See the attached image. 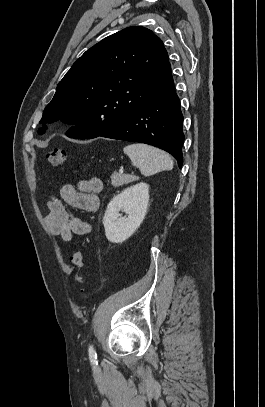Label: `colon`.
<instances>
[{"instance_id":"5ec220e1","label":"colon","mask_w":265,"mask_h":407,"mask_svg":"<svg viewBox=\"0 0 265 407\" xmlns=\"http://www.w3.org/2000/svg\"><path fill=\"white\" fill-rule=\"evenodd\" d=\"M67 160V152L64 149L55 148L49 150L45 154V161L53 166H59ZM71 262L75 268V283L82 286L86 282V278L82 275L81 270L84 264L83 253L78 250L71 256ZM83 296L84 293H82Z\"/></svg>"}]
</instances>
